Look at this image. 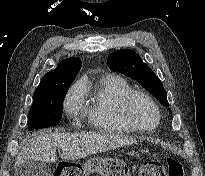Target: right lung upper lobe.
Instances as JSON below:
<instances>
[{
    "label": "right lung upper lobe",
    "instance_id": "obj_1",
    "mask_svg": "<svg viewBox=\"0 0 205 176\" xmlns=\"http://www.w3.org/2000/svg\"><path fill=\"white\" fill-rule=\"evenodd\" d=\"M80 68L81 60L79 58L72 57L63 60L56 69L43 76L39 86L35 89L34 96L51 93L61 87L70 86Z\"/></svg>",
    "mask_w": 205,
    "mask_h": 176
}]
</instances>
